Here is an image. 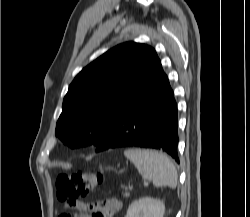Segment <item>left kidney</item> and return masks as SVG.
<instances>
[{
    "label": "left kidney",
    "instance_id": "5707ae66",
    "mask_svg": "<svg viewBox=\"0 0 250 217\" xmlns=\"http://www.w3.org/2000/svg\"><path fill=\"white\" fill-rule=\"evenodd\" d=\"M165 205L154 198H140L134 201L128 208L125 217H163Z\"/></svg>",
    "mask_w": 250,
    "mask_h": 217
}]
</instances>
